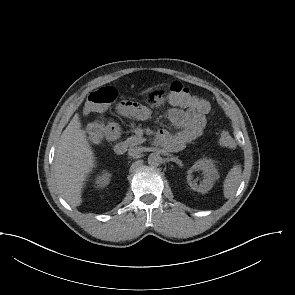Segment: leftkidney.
Masks as SVG:
<instances>
[{"instance_id":"obj_1","label":"left kidney","mask_w":295,"mask_h":295,"mask_svg":"<svg viewBox=\"0 0 295 295\" xmlns=\"http://www.w3.org/2000/svg\"><path fill=\"white\" fill-rule=\"evenodd\" d=\"M202 171L203 172V180L198 185L196 181L193 180L192 173L194 171ZM187 182L189 186L197 192L202 194L208 192L215 182L219 178V174L215 165L211 160L208 159H200L194 163V165L187 171Z\"/></svg>"}]
</instances>
